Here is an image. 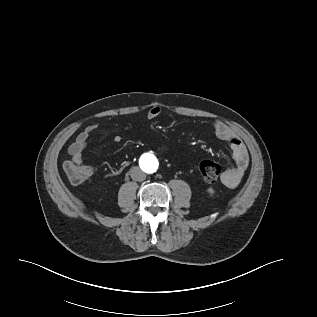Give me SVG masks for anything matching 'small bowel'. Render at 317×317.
Returning <instances> with one entry per match:
<instances>
[{"mask_svg": "<svg viewBox=\"0 0 317 317\" xmlns=\"http://www.w3.org/2000/svg\"><path fill=\"white\" fill-rule=\"evenodd\" d=\"M161 108L159 106H153L148 111V118L150 120H155L161 115ZM215 135L220 139L229 144L232 157L234 159L235 165L227 169L221 177L222 183L229 187H236L249 164V156L245 145L243 144L240 137L224 122L220 120H215L212 124ZM98 129L97 124L88 125L75 139L73 143L70 144L68 148V153L71 156L73 162L81 163L83 152L88 146V140L91 134L95 133ZM120 135H114L112 141L114 143L121 142Z\"/></svg>", "mask_w": 317, "mask_h": 317, "instance_id": "c3829d8e", "label": "small bowel"}]
</instances>
